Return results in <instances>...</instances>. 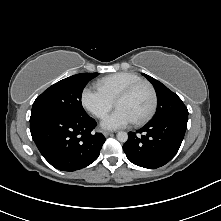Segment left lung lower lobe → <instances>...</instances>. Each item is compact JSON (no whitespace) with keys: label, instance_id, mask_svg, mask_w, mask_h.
Returning <instances> with one entry per match:
<instances>
[{"label":"left lung lower lobe","instance_id":"1","mask_svg":"<svg viewBox=\"0 0 221 221\" xmlns=\"http://www.w3.org/2000/svg\"><path fill=\"white\" fill-rule=\"evenodd\" d=\"M188 115H176L149 122L128 133L123 145L127 158L135 165L155 169L168 163L178 152L187 128Z\"/></svg>","mask_w":221,"mask_h":221}]
</instances>
